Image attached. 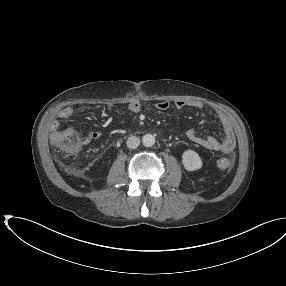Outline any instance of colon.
<instances>
[{
    "mask_svg": "<svg viewBox=\"0 0 286 286\" xmlns=\"http://www.w3.org/2000/svg\"><path fill=\"white\" fill-rule=\"evenodd\" d=\"M51 139L59 152L64 156L77 155L82 147L87 144V138L73 130L57 131L51 136ZM234 159V156L221 158L218 161V167L221 169H229L233 166Z\"/></svg>",
    "mask_w": 286,
    "mask_h": 286,
    "instance_id": "1",
    "label": "colon"
}]
</instances>
